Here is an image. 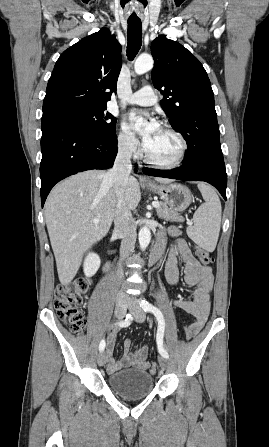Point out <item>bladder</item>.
I'll use <instances>...</instances> for the list:
<instances>
[{
  "label": "bladder",
  "instance_id": "bladder-1",
  "mask_svg": "<svg viewBox=\"0 0 269 447\" xmlns=\"http://www.w3.org/2000/svg\"><path fill=\"white\" fill-rule=\"evenodd\" d=\"M153 375L147 371L125 369L108 377L111 391L126 398H142L154 386Z\"/></svg>",
  "mask_w": 269,
  "mask_h": 447
}]
</instances>
